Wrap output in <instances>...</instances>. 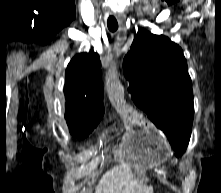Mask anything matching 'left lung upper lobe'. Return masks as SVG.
<instances>
[{
    "instance_id": "5c2ea615",
    "label": "left lung upper lobe",
    "mask_w": 221,
    "mask_h": 193,
    "mask_svg": "<svg viewBox=\"0 0 221 193\" xmlns=\"http://www.w3.org/2000/svg\"><path fill=\"white\" fill-rule=\"evenodd\" d=\"M129 93L167 136L176 156L189 143L194 117L193 91L182 49L163 35L139 30L123 60Z\"/></svg>"
}]
</instances>
